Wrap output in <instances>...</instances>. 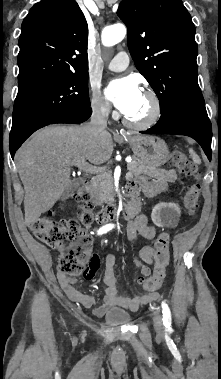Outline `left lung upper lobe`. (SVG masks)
Wrapping results in <instances>:
<instances>
[{
    "label": "left lung upper lobe",
    "mask_w": 221,
    "mask_h": 379,
    "mask_svg": "<svg viewBox=\"0 0 221 379\" xmlns=\"http://www.w3.org/2000/svg\"><path fill=\"white\" fill-rule=\"evenodd\" d=\"M117 14L128 48L163 113L169 107L206 112L197 81L195 26L181 0H122Z\"/></svg>",
    "instance_id": "1"
}]
</instances>
